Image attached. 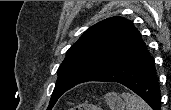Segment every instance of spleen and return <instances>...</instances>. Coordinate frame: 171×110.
Wrapping results in <instances>:
<instances>
[{"label": "spleen", "mask_w": 171, "mask_h": 110, "mask_svg": "<svg viewBox=\"0 0 171 110\" xmlns=\"http://www.w3.org/2000/svg\"><path fill=\"white\" fill-rule=\"evenodd\" d=\"M122 97L126 103V110H151L150 106L136 94L124 92Z\"/></svg>", "instance_id": "3e777b00"}]
</instances>
